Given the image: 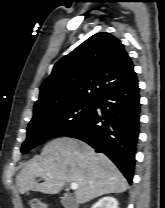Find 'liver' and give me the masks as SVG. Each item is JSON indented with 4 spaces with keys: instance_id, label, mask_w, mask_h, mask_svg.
Instances as JSON below:
<instances>
[{
    "instance_id": "liver-1",
    "label": "liver",
    "mask_w": 165,
    "mask_h": 208,
    "mask_svg": "<svg viewBox=\"0 0 165 208\" xmlns=\"http://www.w3.org/2000/svg\"><path fill=\"white\" fill-rule=\"evenodd\" d=\"M37 177L44 182L38 183ZM69 182L78 184L75 200L79 204L128 189L126 178L106 155L68 137L46 144L41 155L27 162L16 177L21 194L30 190L57 194Z\"/></svg>"
}]
</instances>
